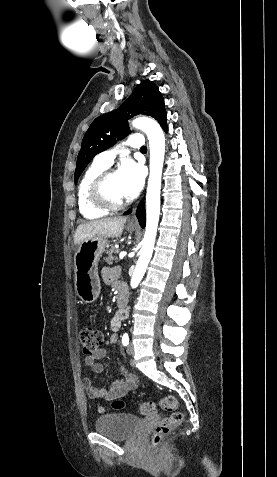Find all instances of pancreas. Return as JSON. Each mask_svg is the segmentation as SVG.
Instances as JSON below:
<instances>
[{
    "label": "pancreas",
    "instance_id": "obj_1",
    "mask_svg": "<svg viewBox=\"0 0 277 477\" xmlns=\"http://www.w3.org/2000/svg\"><path fill=\"white\" fill-rule=\"evenodd\" d=\"M117 249L114 247L111 248L110 250L107 251V257L105 258V261L109 264H112L113 262H117V257L114 256L115 253H117Z\"/></svg>",
    "mask_w": 277,
    "mask_h": 477
}]
</instances>
